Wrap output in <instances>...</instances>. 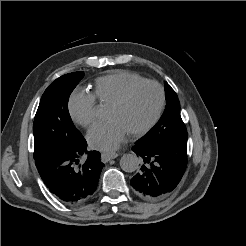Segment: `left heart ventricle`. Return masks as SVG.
I'll return each instance as SVG.
<instances>
[{
  "label": "left heart ventricle",
  "mask_w": 246,
  "mask_h": 246,
  "mask_svg": "<svg viewBox=\"0 0 246 246\" xmlns=\"http://www.w3.org/2000/svg\"><path fill=\"white\" fill-rule=\"evenodd\" d=\"M160 100L159 90L154 85L136 89L119 107H110L108 117L118 119L129 132L146 125L154 116Z\"/></svg>",
  "instance_id": "b2bd125f"
}]
</instances>
